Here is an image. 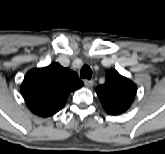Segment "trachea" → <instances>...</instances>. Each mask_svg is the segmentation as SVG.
Here are the masks:
<instances>
[{
  "instance_id": "1",
  "label": "trachea",
  "mask_w": 165,
  "mask_h": 154,
  "mask_svg": "<svg viewBox=\"0 0 165 154\" xmlns=\"http://www.w3.org/2000/svg\"><path fill=\"white\" fill-rule=\"evenodd\" d=\"M80 77L90 80L92 77V70L88 65H84L80 72Z\"/></svg>"
}]
</instances>
